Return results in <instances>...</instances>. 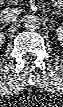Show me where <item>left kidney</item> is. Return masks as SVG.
<instances>
[{"instance_id":"1","label":"left kidney","mask_w":63,"mask_h":107,"mask_svg":"<svg viewBox=\"0 0 63 107\" xmlns=\"http://www.w3.org/2000/svg\"><path fill=\"white\" fill-rule=\"evenodd\" d=\"M56 35H57L58 41L61 43V45H63V27H59L56 30Z\"/></svg>"}]
</instances>
